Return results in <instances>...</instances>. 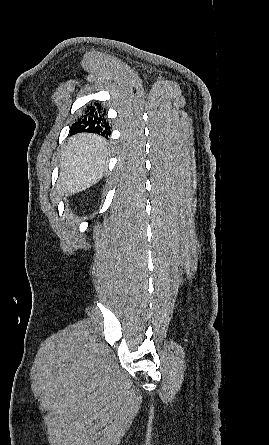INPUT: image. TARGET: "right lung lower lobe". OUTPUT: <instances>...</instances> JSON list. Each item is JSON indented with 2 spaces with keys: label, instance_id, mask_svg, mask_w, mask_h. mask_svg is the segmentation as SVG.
Wrapping results in <instances>:
<instances>
[{
  "label": "right lung lower lobe",
  "instance_id": "obj_1",
  "mask_svg": "<svg viewBox=\"0 0 269 445\" xmlns=\"http://www.w3.org/2000/svg\"><path fill=\"white\" fill-rule=\"evenodd\" d=\"M105 114V109L99 103L88 105L84 114L72 125L71 134L88 132L107 137L110 135V126Z\"/></svg>",
  "mask_w": 269,
  "mask_h": 445
}]
</instances>
